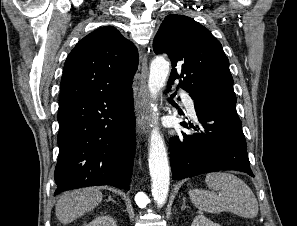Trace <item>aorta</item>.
<instances>
[{"instance_id": "obj_1", "label": "aorta", "mask_w": 297, "mask_h": 226, "mask_svg": "<svg viewBox=\"0 0 297 226\" xmlns=\"http://www.w3.org/2000/svg\"><path fill=\"white\" fill-rule=\"evenodd\" d=\"M169 62L163 57H156L151 62L148 87L153 99L164 87L168 74ZM153 110V129L149 141V170L152 180V196L159 207L167 200L169 191V163L164 140L157 126V105L151 104Z\"/></svg>"}]
</instances>
